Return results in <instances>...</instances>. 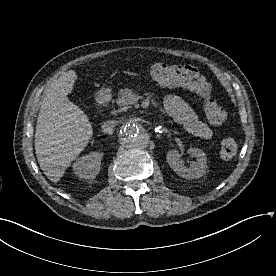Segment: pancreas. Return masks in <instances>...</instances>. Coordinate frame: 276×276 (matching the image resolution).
I'll return each instance as SVG.
<instances>
[{
	"mask_svg": "<svg viewBox=\"0 0 276 276\" xmlns=\"http://www.w3.org/2000/svg\"><path fill=\"white\" fill-rule=\"evenodd\" d=\"M133 91L131 89H121L118 92V98L116 99V103L118 104L119 108L116 112H123L129 108V105L133 103Z\"/></svg>",
	"mask_w": 276,
	"mask_h": 276,
	"instance_id": "1",
	"label": "pancreas"
}]
</instances>
